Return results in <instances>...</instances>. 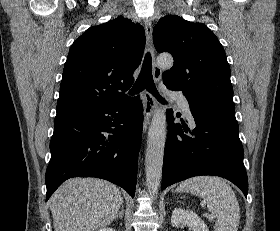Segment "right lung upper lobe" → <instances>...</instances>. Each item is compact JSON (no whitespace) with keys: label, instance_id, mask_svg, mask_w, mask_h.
<instances>
[{"label":"right lung upper lobe","instance_id":"obj_1","mask_svg":"<svg viewBox=\"0 0 280 231\" xmlns=\"http://www.w3.org/2000/svg\"><path fill=\"white\" fill-rule=\"evenodd\" d=\"M144 44V28L122 16L87 29L70 48L55 120L128 100Z\"/></svg>","mask_w":280,"mask_h":231}]
</instances>
